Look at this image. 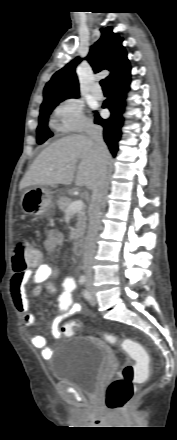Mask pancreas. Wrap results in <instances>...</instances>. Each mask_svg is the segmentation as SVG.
<instances>
[{
    "label": "pancreas",
    "instance_id": "cf45deb5",
    "mask_svg": "<svg viewBox=\"0 0 177 440\" xmlns=\"http://www.w3.org/2000/svg\"><path fill=\"white\" fill-rule=\"evenodd\" d=\"M72 202L73 200L71 198L61 197L57 201V205L61 211L67 213L68 207ZM76 217H77L76 218L77 223H76V228L74 230V237H73L74 240H77L84 235L86 229V221H87L86 212L84 210L80 211L76 215Z\"/></svg>",
    "mask_w": 177,
    "mask_h": 440
}]
</instances>
